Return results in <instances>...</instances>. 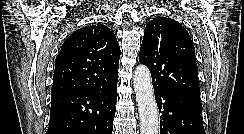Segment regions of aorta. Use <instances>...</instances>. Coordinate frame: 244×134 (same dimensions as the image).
I'll use <instances>...</instances> for the list:
<instances>
[{
    "label": "aorta",
    "mask_w": 244,
    "mask_h": 134,
    "mask_svg": "<svg viewBox=\"0 0 244 134\" xmlns=\"http://www.w3.org/2000/svg\"><path fill=\"white\" fill-rule=\"evenodd\" d=\"M133 86L140 116L141 134H158V108L154 98V90L149 69L139 65L134 71Z\"/></svg>",
    "instance_id": "1"
}]
</instances>
